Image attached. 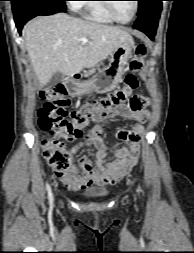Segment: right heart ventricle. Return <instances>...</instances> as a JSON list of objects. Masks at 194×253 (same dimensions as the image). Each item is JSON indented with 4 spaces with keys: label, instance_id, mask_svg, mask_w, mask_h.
<instances>
[{
    "label": "right heart ventricle",
    "instance_id": "right-heart-ventricle-1",
    "mask_svg": "<svg viewBox=\"0 0 194 253\" xmlns=\"http://www.w3.org/2000/svg\"><path fill=\"white\" fill-rule=\"evenodd\" d=\"M84 17L100 24H113L115 21L110 17L104 5L99 0H89L81 7Z\"/></svg>",
    "mask_w": 194,
    "mask_h": 253
}]
</instances>
